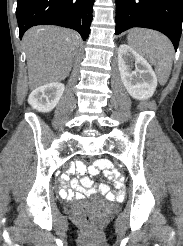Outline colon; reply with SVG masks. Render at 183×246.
Here are the masks:
<instances>
[{
	"mask_svg": "<svg viewBox=\"0 0 183 246\" xmlns=\"http://www.w3.org/2000/svg\"><path fill=\"white\" fill-rule=\"evenodd\" d=\"M81 162H83L84 165H91L92 162H95V155H83V157H81ZM80 219L82 223L90 228H94L98 222L97 215L91 211L83 212L80 215Z\"/></svg>",
	"mask_w": 183,
	"mask_h": 246,
	"instance_id": "colon-1",
	"label": "colon"
}]
</instances>
